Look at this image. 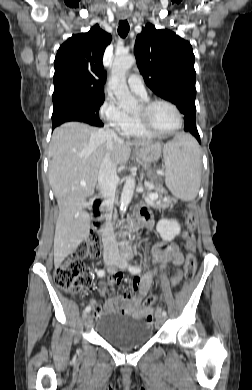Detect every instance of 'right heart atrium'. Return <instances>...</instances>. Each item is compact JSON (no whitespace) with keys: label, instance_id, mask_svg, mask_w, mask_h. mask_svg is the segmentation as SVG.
I'll return each instance as SVG.
<instances>
[{"label":"right heart atrium","instance_id":"obj_1","mask_svg":"<svg viewBox=\"0 0 252 390\" xmlns=\"http://www.w3.org/2000/svg\"><path fill=\"white\" fill-rule=\"evenodd\" d=\"M100 116L107 125L122 137H128L132 129V118L113 100L106 99L100 108Z\"/></svg>","mask_w":252,"mask_h":390}]
</instances>
